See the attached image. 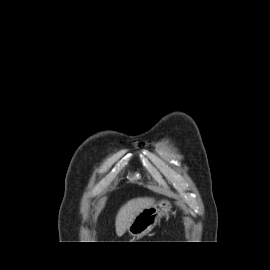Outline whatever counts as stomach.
<instances>
[{"label":"stomach","instance_id":"0dacf381","mask_svg":"<svg viewBox=\"0 0 270 270\" xmlns=\"http://www.w3.org/2000/svg\"><path fill=\"white\" fill-rule=\"evenodd\" d=\"M171 204L166 200L153 203L143 209L132 221L127 232L130 236L141 238L149 233L160 219L171 211Z\"/></svg>","mask_w":270,"mask_h":270}]
</instances>
